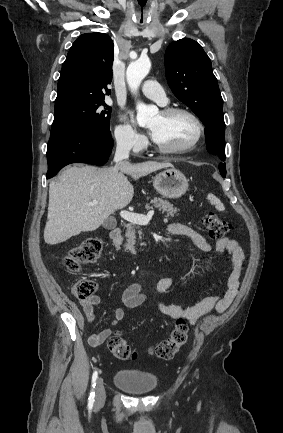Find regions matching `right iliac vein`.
I'll return each instance as SVG.
<instances>
[{"label":"right iliac vein","mask_w":283,"mask_h":433,"mask_svg":"<svg viewBox=\"0 0 283 433\" xmlns=\"http://www.w3.org/2000/svg\"><path fill=\"white\" fill-rule=\"evenodd\" d=\"M105 402V388L103 385L102 378H98L96 382V397H95V406L96 408H100Z\"/></svg>","instance_id":"1"}]
</instances>
